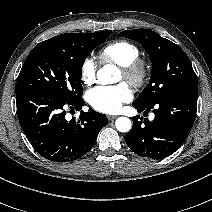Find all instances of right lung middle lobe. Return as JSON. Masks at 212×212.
<instances>
[{"label":"right lung middle lobe","instance_id":"right-lung-middle-lobe-1","mask_svg":"<svg viewBox=\"0 0 212 212\" xmlns=\"http://www.w3.org/2000/svg\"><path fill=\"white\" fill-rule=\"evenodd\" d=\"M111 34L101 31L91 34L66 33L56 43L35 46L20 71L16 94L43 91L65 100L81 99V70L90 51Z\"/></svg>","mask_w":212,"mask_h":212}]
</instances>
